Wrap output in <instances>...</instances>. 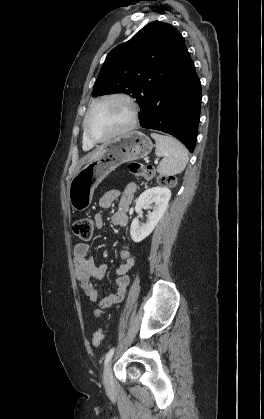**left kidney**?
Wrapping results in <instances>:
<instances>
[{"mask_svg":"<svg viewBox=\"0 0 264 419\" xmlns=\"http://www.w3.org/2000/svg\"><path fill=\"white\" fill-rule=\"evenodd\" d=\"M170 198V189L159 186L149 188L139 196L135 206V211L137 213H139L145 206H148L151 202H154V206L152 211L148 212L147 220L144 224H140L137 218L132 221L130 235L134 242H141L152 233L165 213Z\"/></svg>","mask_w":264,"mask_h":419,"instance_id":"obj_1","label":"left kidney"}]
</instances>
